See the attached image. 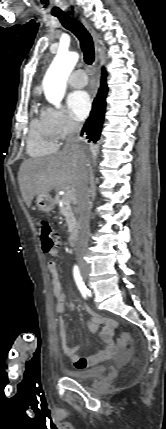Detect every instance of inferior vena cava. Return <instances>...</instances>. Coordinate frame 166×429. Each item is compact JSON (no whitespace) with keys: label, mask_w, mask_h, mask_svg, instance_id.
<instances>
[{"label":"inferior vena cava","mask_w":166,"mask_h":429,"mask_svg":"<svg viewBox=\"0 0 166 429\" xmlns=\"http://www.w3.org/2000/svg\"><path fill=\"white\" fill-rule=\"evenodd\" d=\"M81 124L69 121L67 124V139L64 146L65 150L79 153ZM89 170L87 160L83 161L77 183V204L80 217V234L75 247V255L79 261L83 260L88 245L90 232V190H89Z\"/></svg>","instance_id":"obj_1"}]
</instances>
